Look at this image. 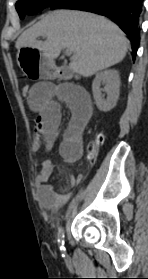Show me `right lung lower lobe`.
<instances>
[{
	"label": "right lung lower lobe",
	"mask_w": 148,
	"mask_h": 279,
	"mask_svg": "<svg viewBox=\"0 0 148 279\" xmlns=\"http://www.w3.org/2000/svg\"><path fill=\"white\" fill-rule=\"evenodd\" d=\"M143 0H62L51 9L84 10L113 19V21L128 35L132 43V57L135 59L140 43L139 21Z\"/></svg>",
	"instance_id": "right-lung-lower-lobe-1"
}]
</instances>
